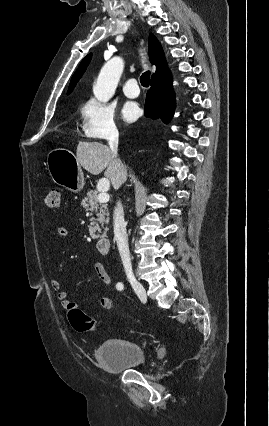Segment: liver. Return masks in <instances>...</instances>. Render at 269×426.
I'll return each mask as SVG.
<instances>
[{
	"instance_id": "1",
	"label": "liver",
	"mask_w": 269,
	"mask_h": 426,
	"mask_svg": "<svg viewBox=\"0 0 269 426\" xmlns=\"http://www.w3.org/2000/svg\"><path fill=\"white\" fill-rule=\"evenodd\" d=\"M76 158L78 163L93 175H98L105 170V178L115 189L127 179L126 168L124 165L123 168H120V160L115 158L110 148L103 143L80 141L76 150Z\"/></svg>"
}]
</instances>
